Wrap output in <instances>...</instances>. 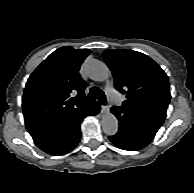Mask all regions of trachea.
I'll return each instance as SVG.
<instances>
[{
  "instance_id": "3493384b",
  "label": "trachea",
  "mask_w": 194,
  "mask_h": 193,
  "mask_svg": "<svg viewBox=\"0 0 194 193\" xmlns=\"http://www.w3.org/2000/svg\"><path fill=\"white\" fill-rule=\"evenodd\" d=\"M88 98L89 99H98L102 105L107 104L104 92L96 86H94L90 89V93L88 95Z\"/></svg>"
}]
</instances>
